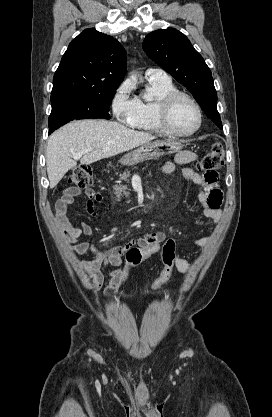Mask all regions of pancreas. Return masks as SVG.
Here are the masks:
<instances>
[{
	"mask_svg": "<svg viewBox=\"0 0 272 417\" xmlns=\"http://www.w3.org/2000/svg\"><path fill=\"white\" fill-rule=\"evenodd\" d=\"M129 176H130V172L125 171L123 174L120 175V178H121V180L127 181ZM126 189H127V186H123V185H115L114 186V194L116 195V198H117L118 201L123 196L127 197V193L125 191Z\"/></svg>",
	"mask_w": 272,
	"mask_h": 417,
	"instance_id": "1",
	"label": "pancreas"
}]
</instances>
